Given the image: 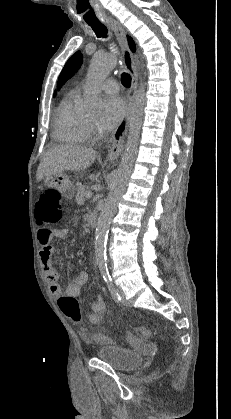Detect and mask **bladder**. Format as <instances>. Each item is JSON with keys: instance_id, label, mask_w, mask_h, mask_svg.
<instances>
[{"instance_id": "bladder-1", "label": "bladder", "mask_w": 231, "mask_h": 419, "mask_svg": "<svg viewBox=\"0 0 231 419\" xmlns=\"http://www.w3.org/2000/svg\"><path fill=\"white\" fill-rule=\"evenodd\" d=\"M98 359L110 364L116 371L127 372L143 364L145 357L135 351L116 345L103 344L97 348Z\"/></svg>"}]
</instances>
